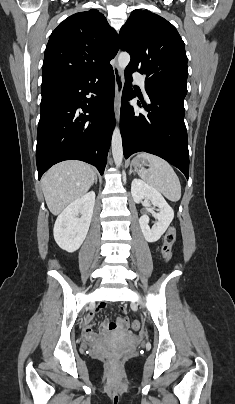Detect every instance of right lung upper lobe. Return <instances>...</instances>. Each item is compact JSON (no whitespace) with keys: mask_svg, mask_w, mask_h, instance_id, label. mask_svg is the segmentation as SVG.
<instances>
[{"mask_svg":"<svg viewBox=\"0 0 235 404\" xmlns=\"http://www.w3.org/2000/svg\"><path fill=\"white\" fill-rule=\"evenodd\" d=\"M118 49L117 33L98 10L73 14L50 35L42 84L103 71Z\"/></svg>","mask_w":235,"mask_h":404,"instance_id":"1","label":"right lung upper lobe"}]
</instances>
